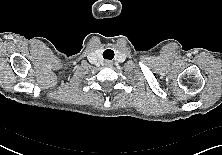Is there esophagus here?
Returning <instances> with one entry per match:
<instances>
[{
  "label": "esophagus",
  "instance_id": "esophagus-1",
  "mask_svg": "<svg viewBox=\"0 0 222 155\" xmlns=\"http://www.w3.org/2000/svg\"><path fill=\"white\" fill-rule=\"evenodd\" d=\"M105 65H106V66H112V62H111V61H106V62H105Z\"/></svg>",
  "mask_w": 222,
  "mask_h": 155
}]
</instances>
